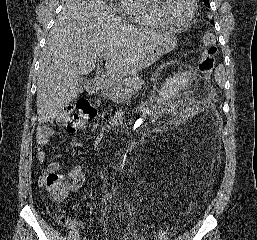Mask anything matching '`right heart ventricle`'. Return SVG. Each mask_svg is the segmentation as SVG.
<instances>
[{
	"mask_svg": "<svg viewBox=\"0 0 257 240\" xmlns=\"http://www.w3.org/2000/svg\"><path fill=\"white\" fill-rule=\"evenodd\" d=\"M121 14L134 24L148 29H163L166 27L156 18L150 0H122Z\"/></svg>",
	"mask_w": 257,
	"mask_h": 240,
	"instance_id": "1",
	"label": "right heart ventricle"
}]
</instances>
